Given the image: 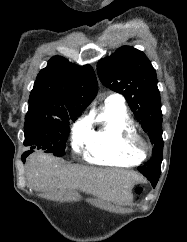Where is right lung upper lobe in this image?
Listing matches in <instances>:
<instances>
[{"instance_id":"obj_1","label":"right lung upper lobe","mask_w":187,"mask_h":242,"mask_svg":"<svg viewBox=\"0 0 187 242\" xmlns=\"http://www.w3.org/2000/svg\"><path fill=\"white\" fill-rule=\"evenodd\" d=\"M97 94L91 66H76L61 56L52 57L30 93L27 113L80 115Z\"/></svg>"}]
</instances>
